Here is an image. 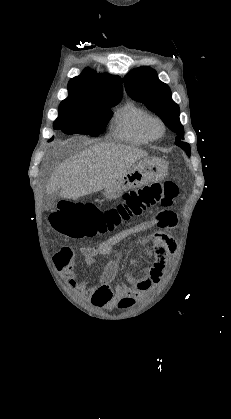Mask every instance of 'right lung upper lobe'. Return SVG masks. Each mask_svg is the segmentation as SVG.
Segmentation results:
<instances>
[{"label": "right lung upper lobe", "instance_id": "right-lung-upper-lobe-1", "mask_svg": "<svg viewBox=\"0 0 231 419\" xmlns=\"http://www.w3.org/2000/svg\"><path fill=\"white\" fill-rule=\"evenodd\" d=\"M122 79L119 76L96 74L86 68L68 83L69 96L65 101H106L122 97Z\"/></svg>", "mask_w": 231, "mask_h": 419}]
</instances>
